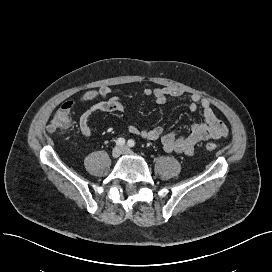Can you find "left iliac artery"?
Returning <instances> with one entry per match:
<instances>
[{
  "label": "left iliac artery",
  "mask_w": 272,
  "mask_h": 272,
  "mask_svg": "<svg viewBox=\"0 0 272 272\" xmlns=\"http://www.w3.org/2000/svg\"><path fill=\"white\" fill-rule=\"evenodd\" d=\"M127 144H128L129 147H134L135 146V141L130 139V140H128Z\"/></svg>",
  "instance_id": "44dca946"
}]
</instances>
